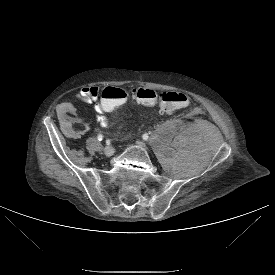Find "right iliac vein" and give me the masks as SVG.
<instances>
[{"mask_svg":"<svg viewBox=\"0 0 275 275\" xmlns=\"http://www.w3.org/2000/svg\"><path fill=\"white\" fill-rule=\"evenodd\" d=\"M114 154V148L112 146H107L104 148V155L110 157Z\"/></svg>","mask_w":275,"mask_h":275,"instance_id":"1","label":"right iliac vein"}]
</instances>
